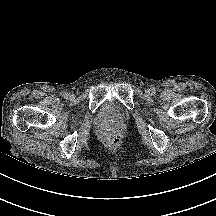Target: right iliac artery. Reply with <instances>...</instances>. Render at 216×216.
I'll list each match as a JSON object with an SVG mask.
<instances>
[{
	"label": "right iliac artery",
	"instance_id": "right-iliac-artery-1",
	"mask_svg": "<svg viewBox=\"0 0 216 216\" xmlns=\"http://www.w3.org/2000/svg\"><path fill=\"white\" fill-rule=\"evenodd\" d=\"M68 96H69L68 93H65V94H64V97H65V98H68Z\"/></svg>",
	"mask_w": 216,
	"mask_h": 216
}]
</instances>
